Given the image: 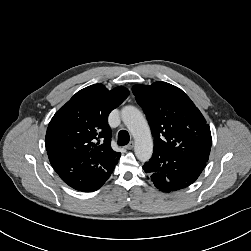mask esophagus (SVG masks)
Returning a JSON list of instances; mask_svg holds the SVG:
<instances>
[{"label": "esophagus", "mask_w": 251, "mask_h": 251, "mask_svg": "<svg viewBox=\"0 0 251 251\" xmlns=\"http://www.w3.org/2000/svg\"><path fill=\"white\" fill-rule=\"evenodd\" d=\"M134 147V143L130 142L128 145L125 146V149L131 150Z\"/></svg>", "instance_id": "1"}]
</instances>
